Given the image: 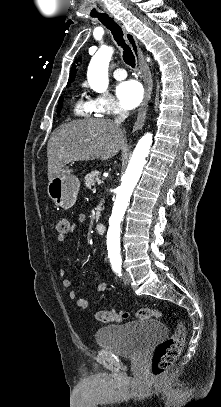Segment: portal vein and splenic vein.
I'll return each instance as SVG.
<instances>
[{"label": "portal vein and splenic vein", "mask_w": 221, "mask_h": 407, "mask_svg": "<svg viewBox=\"0 0 221 407\" xmlns=\"http://www.w3.org/2000/svg\"><path fill=\"white\" fill-rule=\"evenodd\" d=\"M98 184H101V180H98Z\"/></svg>", "instance_id": "18ae733b"}]
</instances>
